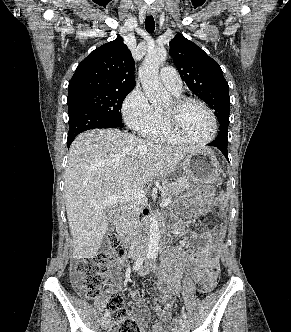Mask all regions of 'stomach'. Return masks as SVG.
<instances>
[{"mask_svg":"<svg viewBox=\"0 0 291 332\" xmlns=\"http://www.w3.org/2000/svg\"><path fill=\"white\" fill-rule=\"evenodd\" d=\"M180 166L188 179L200 185L183 197L195 213H200L212 200V184L220 175V164L211 149L199 148L188 153Z\"/></svg>","mask_w":291,"mask_h":332,"instance_id":"stomach-1","label":"stomach"}]
</instances>
